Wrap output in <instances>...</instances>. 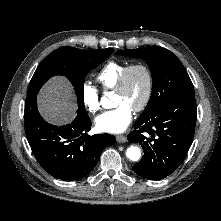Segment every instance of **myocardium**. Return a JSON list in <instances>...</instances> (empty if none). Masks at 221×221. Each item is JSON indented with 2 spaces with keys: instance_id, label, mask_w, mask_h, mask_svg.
<instances>
[{
  "instance_id": "f54148a6",
  "label": "myocardium",
  "mask_w": 221,
  "mask_h": 221,
  "mask_svg": "<svg viewBox=\"0 0 221 221\" xmlns=\"http://www.w3.org/2000/svg\"><path fill=\"white\" fill-rule=\"evenodd\" d=\"M136 69L142 70L146 76V79H147V87H146L145 95H144L142 101L133 109L135 112H141L148 106V104L151 100L152 94H153L154 77H153V73L148 65H146L145 63H141V62L132 63V64L128 65L124 69V71L122 72V74H121V76H120V78L114 88V91L115 92L124 91V89L126 88L130 74Z\"/></svg>"
}]
</instances>
